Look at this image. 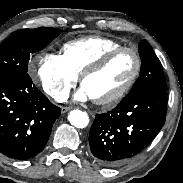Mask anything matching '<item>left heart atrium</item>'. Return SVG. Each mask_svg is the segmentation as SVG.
Segmentation results:
<instances>
[{"instance_id": "39dd6f15", "label": "left heart atrium", "mask_w": 183, "mask_h": 183, "mask_svg": "<svg viewBox=\"0 0 183 183\" xmlns=\"http://www.w3.org/2000/svg\"><path fill=\"white\" fill-rule=\"evenodd\" d=\"M75 99L80 101H85L91 99V96L86 91V89L82 86L75 94Z\"/></svg>"}]
</instances>
